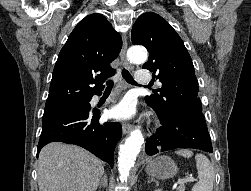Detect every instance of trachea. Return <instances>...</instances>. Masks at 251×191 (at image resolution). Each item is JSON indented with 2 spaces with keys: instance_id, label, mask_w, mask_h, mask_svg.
Instances as JSON below:
<instances>
[{
  "instance_id": "trachea-1",
  "label": "trachea",
  "mask_w": 251,
  "mask_h": 191,
  "mask_svg": "<svg viewBox=\"0 0 251 191\" xmlns=\"http://www.w3.org/2000/svg\"><path fill=\"white\" fill-rule=\"evenodd\" d=\"M121 72H122V76L124 80H126L127 83H130L131 85H137L136 81L133 79V77L131 76L128 70L124 68V69H121ZM113 84H114V80H108L106 82L107 89H112ZM148 86L150 87L152 85H148Z\"/></svg>"
}]
</instances>
